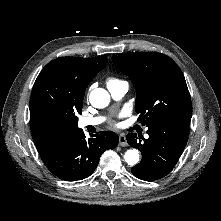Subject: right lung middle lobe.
<instances>
[{"label":"right lung middle lobe","mask_w":221,"mask_h":221,"mask_svg":"<svg viewBox=\"0 0 221 221\" xmlns=\"http://www.w3.org/2000/svg\"><path fill=\"white\" fill-rule=\"evenodd\" d=\"M85 89L75 77L68 58H57L42 69L34 83L30 116L76 128Z\"/></svg>","instance_id":"1"}]
</instances>
